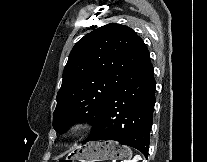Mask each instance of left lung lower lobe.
<instances>
[{"mask_svg":"<svg viewBox=\"0 0 207 162\" xmlns=\"http://www.w3.org/2000/svg\"><path fill=\"white\" fill-rule=\"evenodd\" d=\"M154 69L149 53L110 96L84 141L114 140L147 158L155 104Z\"/></svg>","mask_w":207,"mask_h":162,"instance_id":"obj_1","label":"left lung lower lobe"}]
</instances>
